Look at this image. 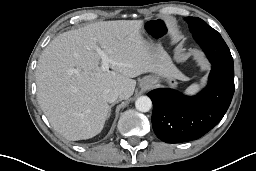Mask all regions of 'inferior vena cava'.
I'll use <instances>...</instances> for the list:
<instances>
[{
  "instance_id": "602c4592",
  "label": "inferior vena cava",
  "mask_w": 256,
  "mask_h": 171,
  "mask_svg": "<svg viewBox=\"0 0 256 171\" xmlns=\"http://www.w3.org/2000/svg\"><path fill=\"white\" fill-rule=\"evenodd\" d=\"M119 97V93L117 90L107 88L103 91V98L108 103L115 102Z\"/></svg>"
}]
</instances>
